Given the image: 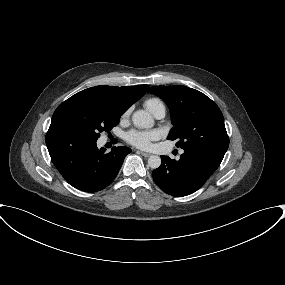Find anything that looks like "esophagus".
<instances>
[{
	"instance_id": "obj_1",
	"label": "esophagus",
	"mask_w": 285,
	"mask_h": 285,
	"mask_svg": "<svg viewBox=\"0 0 285 285\" xmlns=\"http://www.w3.org/2000/svg\"><path fill=\"white\" fill-rule=\"evenodd\" d=\"M138 153L141 154V155L144 156V157H150V156H151L150 153L143 152V151H138Z\"/></svg>"
}]
</instances>
